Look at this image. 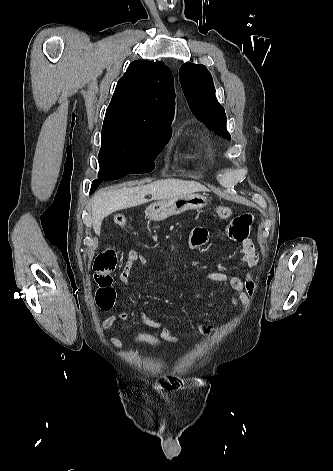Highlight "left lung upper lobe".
Here are the masks:
<instances>
[{"label":"left lung upper lobe","mask_w":333,"mask_h":471,"mask_svg":"<svg viewBox=\"0 0 333 471\" xmlns=\"http://www.w3.org/2000/svg\"><path fill=\"white\" fill-rule=\"evenodd\" d=\"M179 80L189 107L197 119L219 136L231 139L226 130L225 110L215 97L213 80L207 68L187 62L179 70Z\"/></svg>","instance_id":"1"}]
</instances>
